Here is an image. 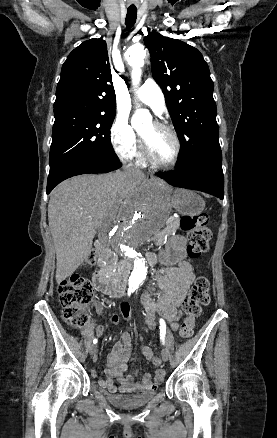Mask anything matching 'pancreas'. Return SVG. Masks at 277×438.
Returning <instances> with one entry per match:
<instances>
[{"mask_svg":"<svg viewBox=\"0 0 277 438\" xmlns=\"http://www.w3.org/2000/svg\"><path fill=\"white\" fill-rule=\"evenodd\" d=\"M182 221L179 218H175L172 221V224H168L166 226V230H160V235H154L153 236V243L154 244H161L162 243V238H164L165 234L168 233H175L177 231V227L181 226ZM110 265L113 263L111 260L108 262Z\"/></svg>","mask_w":277,"mask_h":438,"instance_id":"obj_1","label":"pancreas"}]
</instances>
